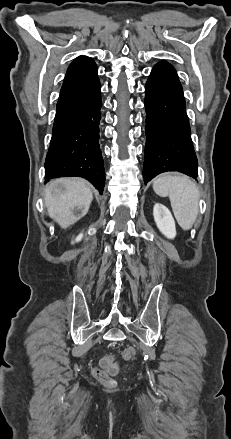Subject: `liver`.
Returning <instances> with one entry per match:
<instances>
[{"mask_svg": "<svg viewBox=\"0 0 231 439\" xmlns=\"http://www.w3.org/2000/svg\"><path fill=\"white\" fill-rule=\"evenodd\" d=\"M92 200L90 184L82 178L51 180L44 195L48 215L62 228L85 216Z\"/></svg>", "mask_w": 231, "mask_h": 439, "instance_id": "1", "label": "liver"}]
</instances>
